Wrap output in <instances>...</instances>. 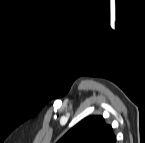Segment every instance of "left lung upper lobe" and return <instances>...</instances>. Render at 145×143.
<instances>
[{
	"instance_id": "5c2ea615",
	"label": "left lung upper lobe",
	"mask_w": 145,
	"mask_h": 143,
	"mask_svg": "<svg viewBox=\"0 0 145 143\" xmlns=\"http://www.w3.org/2000/svg\"><path fill=\"white\" fill-rule=\"evenodd\" d=\"M59 143H116V137L102 116H89L69 130Z\"/></svg>"
}]
</instances>
